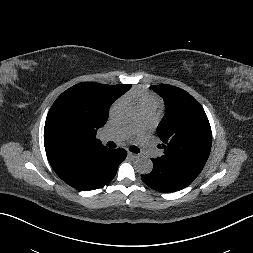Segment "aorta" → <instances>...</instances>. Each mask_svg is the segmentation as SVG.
<instances>
[{
  "label": "aorta",
  "mask_w": 253,
  "mask_h": 253,
  "mask_svg": "<svg viewBox=\"0 0 253 253\" xmlns=\"http://www.w3.org/2000/svg\"><path fill=\"white\" fill-rule=\"evenodd\" d=\"M135 114V109L128 102L118 104L113 111V117L118 123L129 122ZM153 169V162L147 157H140L135 162V170L142 175L149 174Z\"/></svg>",
  "instance_id": "1"
}]
</instances>
